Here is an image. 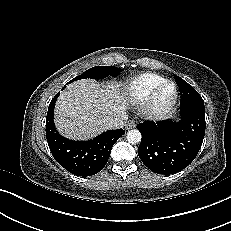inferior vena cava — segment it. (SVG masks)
<instances>
[{"instance_id":"1","label":"inferior vena cava","mask_w":231,"mask_h":231,"mask_svg":"<svg viewBox=\"0 0 231 231\" xmlns=\"http://www.w3.org/2000/svg\"><path fill=\"white\" fill-rule=\"evenodd\" d=\"M128 119V115L126 112H121L118 116L109 118L106 122L107 128L108 129H119L123 128L125 125L126 121Z\"/></svg>"}]
</instances>
